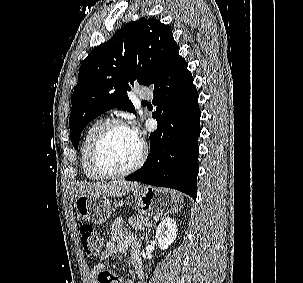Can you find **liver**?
I'll use <instances>...</instances> for the list:
<instances>
[{"instance_id":"6515ba94","label":"liver","mask_w":303,"mask_h":283,"mask_svg":"<svg viewBox=\"0 0 303 283\" xmlns=\"http://www.w3.org/2000/svg\"><path fill=\"white\" fill-rule=\"evenodd\" d=\"M140 187L141 186L136 182L125 180L99 183L81 182L78 185L76 196L87 195L91 197H120L128 194L130 191L137 190Z\"/></svg>"}]
</instances>
